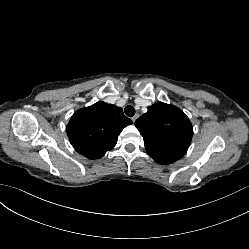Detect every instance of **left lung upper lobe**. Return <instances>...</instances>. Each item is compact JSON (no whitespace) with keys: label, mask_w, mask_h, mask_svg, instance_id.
Instances as JSON below:
<instances>
[{"label":"left lung upper lobe","mask_w":249,"mask_h":249,"mask_svg":"<svg viewBox=\"0 0 249 249\" xmlns=\"http://www.w3.org/2000/svg\"><path fill=\"white\" fill-rule=\"evenodd\" d=\"M147 153L159 164L168 165L182 158L191 143L193 128L188 117L176 106L156 102L135 121Z\"/></svg>","instance_id":"left-lung-upper-lobe-1"}]
</instances>
